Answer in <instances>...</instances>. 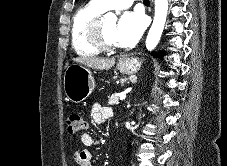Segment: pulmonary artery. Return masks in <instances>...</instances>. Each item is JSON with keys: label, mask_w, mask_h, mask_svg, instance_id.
Returning a JSON list of instances; mask_svg holds the SVG:
<instances>
[{"label": "pulmonary artery", "mask_w": 227, "mask_h": 166, "mask_svg": "<svg viewBox=\"0 0 227 166\" xmlns=\"http://www.w3.org/2000/svg\"><path fill=\"white\" fill-rule=\"evenodd\" d=\"M104 10L123 9L131 6L135 0H93Z\"/></svg>", "instance_id": "pulmonary-artery-1"}]
</instances>
